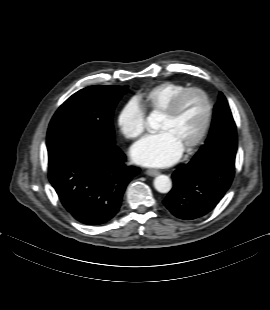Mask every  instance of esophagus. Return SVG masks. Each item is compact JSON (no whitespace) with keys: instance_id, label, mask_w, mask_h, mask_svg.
I'll return each instance as SVG.
<instances>
[{"instance_id":"34e87169","label":"esophagus","mask_w":270,"mask_h":310,"mask_svg":"<svg viewBox=\"0 0 270 310\" xmlns=\"http://www.w3.org/2000/svg\"><path fill=\"white\" fill-rule=\"evenodd\" d=\"M160 172L158 170L155 169H148L146 171V174L149 176H157Z\"/></svg>"}]
</instances>
